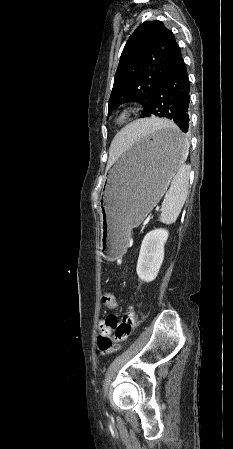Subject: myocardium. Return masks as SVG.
<instances>
[{
  "mask_svg": "<svg viewBox=\"0 0 233 449\" xmlns=\"http://www.w3.org/2000/svg\"><path fill=\"white\" fill-rule=\"evenodd\" d=\"M135 112V107L129 106L118 110L114 115V122L116 124H123L127 122Z\"/></svg>",
  "mask_w": 233,
  "mask_h": 449,
  "instance_id": "myocardium-1",
  "label": "myocardium"
}]
</instances>
